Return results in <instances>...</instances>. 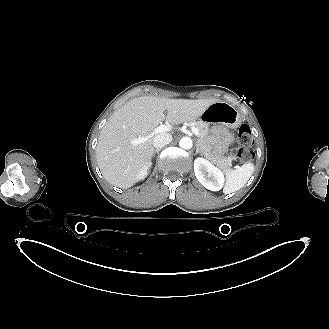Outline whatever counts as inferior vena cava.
<instances>
[{
	"label": "inferior vena cava",
	"instance_id": "inferior-vena-cava-1",
	"mask_svg": "<svg viewBox=\"0 0 329 329\" xmlns=\"http://www.w3.org/2000/svg\"><path fill=\"white\" fill-rule=\"evenodd\" d=\"M171 142H172V135L169 133H161L153 138V145L156 149H161L162 147L166 146Z\"/></svg>",
	"mask_w": 329,
	"mask_h": 329
}]
</instances>
